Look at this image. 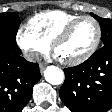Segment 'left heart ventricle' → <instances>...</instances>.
<instances>
[{"instance_id": "obj_1", "label": "left heart ventricle", "mask_w": 112, "mask_h": 112, "mask_svg": "<svg viewBox=\"0 0 112 112\" xmlns=\"http://www.w3.org/2000/svg\"><path fill=\"white\" fill-rule=\"evenodd\" d=\"M96 35V28L89 19L80 21L71 31L69 36L62 41L56 54L64 59L70 60L82 56L92 45Z\"/></svg>"}]
</instances>
